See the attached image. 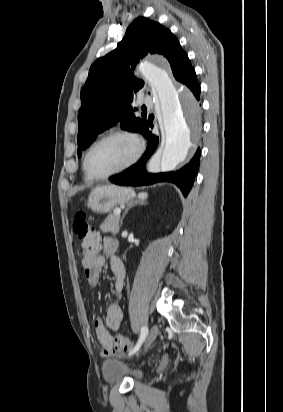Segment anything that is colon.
Returning a JSON list of instances; mask_svg holds the SVG:
<instances>
[{"label": "colon", "instance_id": "5ec220e1", "mask_svg": "<svg viewBox=\"0 0 283 412\" xmlns=\"http://www.w3.org/2000/svg\"><path fill=\"white\" fill-rule=\"evenodd\" d=\"M73 230L81 240L83 257L93 259L99 248V241L96 232L91 227L85 211H77L73 219ZM115 351L127 352L132 348L131 341L124 335H117L114 339Z\"/></svg>", "mask_w": 283, "mask_h": 412}]
</instances>
